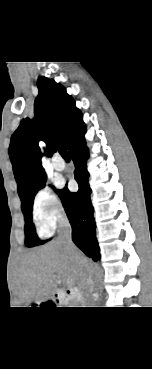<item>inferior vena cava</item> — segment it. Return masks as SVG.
Returning a JSON list of instances; mask_svg holds the SVG:
<instances>
[{
	"mask_svg": "<svg viewBox=\"0 0 152 369\" xmlns=\"http://www.w3.org/2000/svg\"><path fill=\"white\" fill-rule=\"evenodd\" d=\"M72 228L69 220L62 216L58 223V241H60L65 250L74 257L80 266V291L82 295L84 307H94L95 301L93 297V280L92 271L87 262L80 255H77V248L72 242Z\"/></svg>",
	"mask_w": 152,
	"mask_h": 369,
	"instance_id": "inferior-vena-cava-1",
	"label": "inferior vena cava"
}]
</instances>
